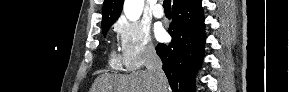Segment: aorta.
Returning a JSON list of instances; mask_svg holds the SVG:
<instances>
[{
    "mask_svg": "<svg viewBox=\"0 0 289 92\" xmlns=\"http://www.w3.org/2000/svg\"><path fill=\"white\" fill-rule=\"evenodd\" d=\"M144 0H126L124 2V14L130 21H136L142 14Z\"/></svg>",
    "mask_w": 289,
    "mask_h": 92,
    "instance_id": "1",
    "label": "aorta"
}]
</instances>
